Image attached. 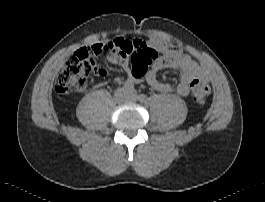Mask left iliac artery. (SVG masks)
Listing matches in <instances>:
<instances>
[{"instance_id": "44dca946", "label": "left iliac artery", "mask_w": 265, "mask_h": 202, "mask_svg": "<svg viewBox=\"0 0 265 202\" xmlns=\"http://www.w3.org/2000/svg\"><path fill=\"white\" fill-rule=\"evenodd\" d=\"M137 99L140 101V102H145L147 100V97L146 95L144 94H140Z\"/></svg>"}]
</instances>
